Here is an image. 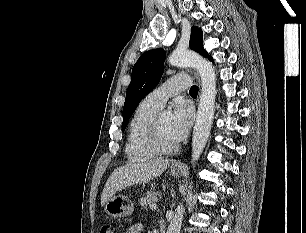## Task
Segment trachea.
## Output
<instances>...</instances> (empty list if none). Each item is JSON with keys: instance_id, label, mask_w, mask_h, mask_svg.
Segmentation results:
<instances>
[{"instance_id": "trachea-1", "label": "trachea", "mask_w": 306, "mask_h": 233, "mask_svg": "<svg viewBox=\"0 0 306 233\" xmlns=\"http://www.w3.org/2000/svg\"><path fill=\"white\" fill-rule=\"evenodd\" d=\"M189 93H190L191 95H197V94H198V87H197V86H192V87L190 88Z\"/></svg>"}]
</instances>
